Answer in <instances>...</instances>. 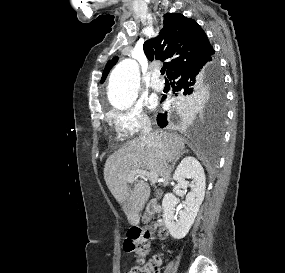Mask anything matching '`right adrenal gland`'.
<instances>
[{
  "label": "right adrenal gland",
  "mask_w": 285,
  "mask_h": 273,
  "mask_svg": "<svg viewBox=\"0 0 285 273\" xmlns=\"http://www.w3.org/2000/svg\"><path fill=\"white\" fill-rule=\"evenodd\" d=\"M187 152H188V150H185V151H183L180 155L177 156V158L175 159V161H174V163H173V165H172V168H174V165H175V163L179 160V158H180L183 154H185V153H187Z\"/></svg>",
  "instance_id": "2a0ac1e0"
}]
</instances>
